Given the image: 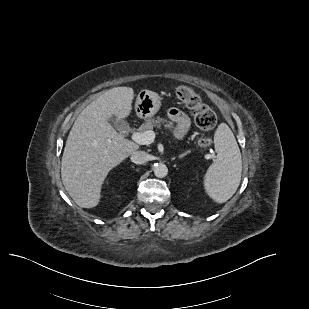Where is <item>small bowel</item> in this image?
<instances>
[{"label": "small bowel", "mask_w": 309, "mask_h": 309, "mask_svg": "<svg viewBox=\"0 0 309 309\" xmlns=\"http://www.w3.org/2000/svg\"><path fill=\"white\" fill-rule=\"evenodd\" d=\"M169 118L176 124V135L183 136L190 127L188 116L179 109L171 108L168 112Z\"/></svg>", "instance_id": "obj_1"}]
</instances>
